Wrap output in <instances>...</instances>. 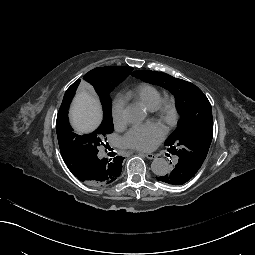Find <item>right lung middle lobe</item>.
<instances>
[{
	"label": "right lung middle lobe",
	"mask_w": 255,
	"mask_h": 255,
	"mask_svg": "<svg viewBox=\"0 0 255 255\" xmlns=\"http://www.w3.org/2000/svg\"><path fill=\"white\" fill-rule=\"evenodd\" d=\"M133 70L131 67H123L121 70L118 71V79L113 82V84H110L99 91H97L98 96L100 97L101 104L103 106V121L101 125L98 127L97 130H95L94 133L99 131L102 128L105 127H111L113 126L112 121V100L110 97V92L116 87L121 81H123ZM66 127L72 132V128L69 125L68 118H66ZM57 130V136L60 137V131ZM94 133L84 135L83 137H89L93 135ZM73 151L75 153H81V154H88L90 152V143L88 141H82V140H75L73 142Z\"/></svg>",
	"instance_id": "right-lung-middle-lobe-1"
}]
</instances>
